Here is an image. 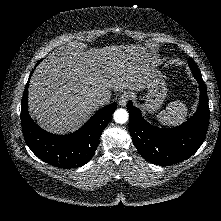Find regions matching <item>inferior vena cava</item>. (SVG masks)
<instances>
[{"mask_svg": "<svg viewBox=\"0 0 221 221\" xmlns=\"http://www.w3.org/2000/svg\"><path fill=\"white\" fill-rule=\"evenodd\" d=\"M110 102V98H108L105 95H100L96 100H95V104L99 107V106H103L106 105Z\"/></svg>", "mask_w": 221, "mask_h": 221, "instance_id": "inferior-vena-cava-1", "label": "inferior vena cava"}]
</instances>
